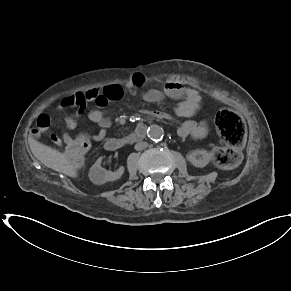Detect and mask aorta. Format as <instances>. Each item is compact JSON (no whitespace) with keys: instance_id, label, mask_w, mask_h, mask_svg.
I'll return each mask as SVG.
<instances>
[{"instance_id":"obj_1","label":"aorta","mask_w":291,"mask_h":291,"mask_svg":"<svg viewBox=\"0 0 291 291\" xmlns=\"http://www.w3.org/2000/svg\"><path fill=\"white\" fill-rule=\"evenodd\" d=\"M163 135H164L163 128L158 125H151L148 128V137L151 140L160 141L162 140Z\"/></svg>"}]
</instances>
